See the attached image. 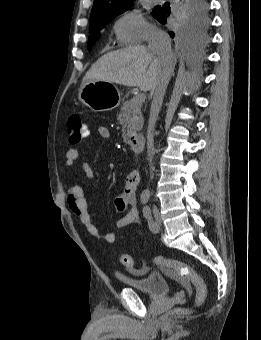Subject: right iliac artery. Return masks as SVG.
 <instances>
[{"label":"right iliac artery","instance_id":"1","mask_svg":"<svg viewBox=\"0 0 261 340\" xmlns=\"http://www.w3.org/2000/svg\"><path fill=\"white\" fill-rule=\"evenodd\" d=\"M148 199H149V194L148 193H142L141 194V203L142 204L147 203Z\"/></svg>","mask_w":261,"mask_h":340}]
</instances>
